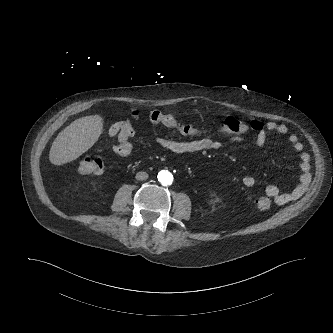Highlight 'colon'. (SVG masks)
<instances>
[{"label": "colon", "instance_id": "obj_1", "mask_svg": "<svg viewBox=\"0 0 333 333\" xmlns=\"http://www.w3.org/2000/svg\"><path fill=\"white\" fill-rule=\"evenodd\" d=\"M136 110L130 111V117H136ZM148 119L156 124H162L173 128L184 136H199L211 138L216 134H243L250 131H258L263 128V123L258 120L244 121L236 117H227L224 122L217 127L199 126L191 122H180L172 114L163 113L159 110L150 111ZM120 131L123 135L131 137L134 129L130 119L120 122ZM104 162L100 157L85 156L79 162V171L83 174H100L104 171ZM256 207L261 211H268L272 207L269 197L262 196L256 199Z\"/></svg>", "mask_w": 333, "mask_h": 333}]
</instances>
